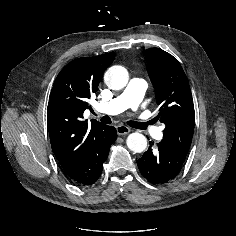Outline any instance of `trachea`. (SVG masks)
Masks as SVG:
<instances>
[{"mask_svg": "<svg viewBox=\"0 0 236 236\" xmlns=\"http://www.w3.org/2000/svg\"><path fill=\"white\" fill-rule=\"evenodd\" d=\"M95 115V114H94ZM101 122L105 123V124H111V118L109 116H103L101 117ZM129 125L137 128V129H145L146 125L144 123H140V122H134V121H130Z\"/></svg>", "mask_w": 236, "mask_h": 236, "instance_id": "obj_1", "label": "trachea"}]
</instances>
